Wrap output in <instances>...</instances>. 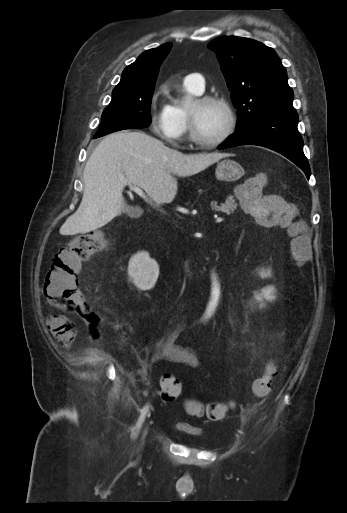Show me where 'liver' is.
I'll return each instance as SVG.
<instances>
[{"instance_id": "1", "label": "liver", "mask_w": 347, "mask_h": 513, "mask_svg": "<svg viewBox=\"0 0 347 513\" xmlns=\"http://www.w3.org/2000/svg\"><path fill=\"white\" fill-rule=\"evenodd\" d=\"M230 154L212 152L185 155L139 131L106 136L88 159L84 190L77 211L60 228L62 235L96 230L125 211V185L142 188L157 204L170 203L177 179L195 175Z\"/></svg>"}]
</instances>
